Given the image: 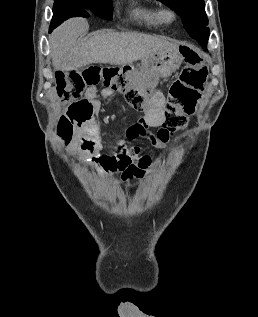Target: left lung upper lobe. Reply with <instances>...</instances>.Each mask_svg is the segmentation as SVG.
I'll use <instances>...</instances> for the list:
<instances>
[{
	"label": "left lung upper lobe",
	"instance_id": "obj_1",
	"mask_svg": "<svg viewBox=\"0 0 258 317\" xmlns=\"http://www.w3.org/2000/svg\"><path fill=\"white\" fill-rule=\"evenodd\" d=\"M174 10L181 18L184 28L193 38L209 35L204 0H159Z\"/></svg>",
	"mask_w": 258,
	"mask_h": 317
}]
</instances>
